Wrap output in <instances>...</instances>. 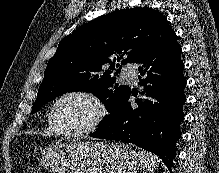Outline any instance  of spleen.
<instances>
[{
    "label": "spleen",
    "instance_id": "3e777b00",
    "mask_svg": "<svg viewBox=\"0 0 219 173\" xmlns=\"http://www.w3.org/2000/svg\"><path fill=\"white\" fill-rule=\"evenodd\" d=\"M138 157L141 167L146 171L153 173L159 166L160 159L153 153L140 150L138 151Z\"/></svg>",
    "mask_w": 219,
    "mask_h": 173
}]
</instances>
